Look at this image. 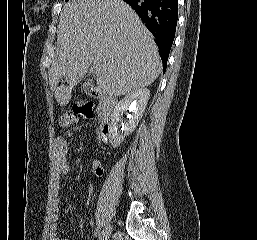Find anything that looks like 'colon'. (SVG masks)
Here are the masks:
<instances>
[{
    "instance_id": "colon-1",
    "label": "colon",
    "mask_w": 257,
    "mask_h": 240,
    "mask_svg": "<svg viewBox=\"0 0 257 240\" xmlns=\"http://www.w3.org/2000/svg\"><path fill=\"white\" fill-rule=\"evenodd\" d=\"M94 116V106L91 102H77L65 116L67 121H76L78 118L91 119Z\"/></svg>"
}]
</instances>
